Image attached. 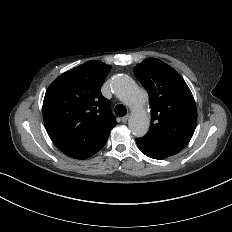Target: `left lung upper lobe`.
I'll return each mask as SVG.
<instances>
[{
	"mask_svg": "<svg viewBox=\"0 0 232 232\" xmlns=\"http://www.w3.org/2000/svg\"><path fill=\"white\" fill-rule=\"evenodd\" d=\"M136 78L149 94L152 117L146 137L182 150L197 123L193 95L183 78L159 59L149 58L134 68Z\"/></svg>",
	"mask_w": 232,
	"mask_h": 232,
	"instance_id": "left-lung-upper-lobe-1",
	"label": "left lung upper lobe"
}]
</instances>
